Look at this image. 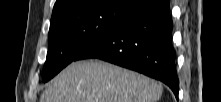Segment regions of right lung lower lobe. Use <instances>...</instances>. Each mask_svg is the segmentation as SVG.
<instances>
[{"mask_svg": "<svg viewBox=\"0 0 221 102\" xmlns=\"http://www.w3.org/2000/svg\"><path fill=\"white\" fill-rule=\"evenodd\" d=\"M168 0H148L78 58H97L165 83L176 98L179 80Z\"/></svg>", "mask_w": 221, "mask_h": 102, "instance_id": "98d812e1", "label": "right lung lower lobe"}]
</instances>
